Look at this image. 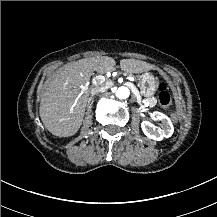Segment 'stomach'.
<instances>
[{
	"instance_id": "0dacf381",
	"label": "stomach",
	"mask_w": 217,
	"mask_h": 217,
	"mask_svg": "<svg viewBox=\"0 0 217 217\" xmlns=\"http://www.w3.org/2000/svg\"><path fill=\"white\" fill-rule=\"evenodd\" d=\"M159 82L151 72H145L141 75L139 87L141 94L145 97L154 95L158 88Z\"/></svg>"
}]
</instances>
